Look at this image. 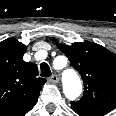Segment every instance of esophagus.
<instances>
[{"label":"esophagus","mask_w":116,"mask_h":116,"mask_svg":"<svg viewBox=\"0 0 116 116\" xmlns=\"http://www.w3.org/2000/svg\"><path fill=\"white\" fill-rule=\"evenodd\" d=\"M49 81L51 82V83H54V84H56V83H58L59 82V77L57 76V75H52L50 78H49Z\"/></svg>","instance_id":"esophagus-1"}]
</instances>
